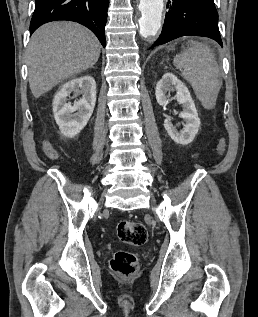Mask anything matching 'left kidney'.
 <instances>
[{
    "label": "left kidney",
    "mask_w": 258,
    "mask_h": 317,
    "mask_svg": "<svg viewBox=\"0 0 258 317\" xmlns=\"http://www.w3.org/2000/svg\"><path fill=\"white\" fill-rule=\"evenodd\" d=\"M173 88L177 90L176 98L179 104H182L184 108V110L180 112V116L186 120V124H183V130H177L176 126L170 122L171 116H166V118H164V126L169 136H171L177 144H189V142H192L195 134H197L201 122L194 100H192L187 86H185L184 82H181L173 72H165L156 84V100L159 104H162V106L169 104L171 98L167 96L166 92L167 90H173Z\"/></svg>",
    "instance_id": "left-kidney-1"
}]
</instances>
